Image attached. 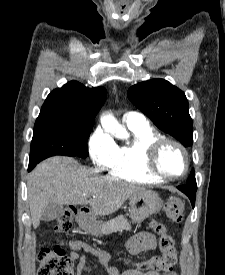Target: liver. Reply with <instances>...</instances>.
I'll list each match as a JSON object with an SVG mask.
<instances>
[{
  "label": "liver",
  "instance_id": "1",
  "mask_svg": "<svg viewBox=\"0 0 225 275\" xmlns=\"http://www.w3.org/2000/svg\"><path fill=\"white\" fill-rule=\"evenodd\" d=\"M27 187L34 229L51 202L89 204L95 215L105 216L116 212L131 196L147 191L112 176H100L95 170L65 156L51 157L38 164L29 175Z\"/></svg>",
  "mask_w": 225,
  "mask_h": 275
}]
</instances>
